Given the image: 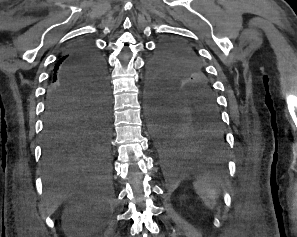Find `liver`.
<instances>
[{"mask_svg":"<svg viewBox=\"0 0 297 237\" xmlns=\"http://www.w3.org/2000/svg\"><path fill=\"white\" fill-rule=\"evenodd\" d=\"M89 178H82V177H73L72 179L68 180L66 182L65 185V192H72V191H76L79 189V186H81L82 184L85 183H89L90 181L88 180ZM64 198V194H60L56 197V200L52 202L50 209H49V213L52 214L56 208L58 207L59 204V200Z\"/></svg>","mask_w":297,"mask_h":237,"instance_id":"obj_1","label":"liver"}]
</instances>
